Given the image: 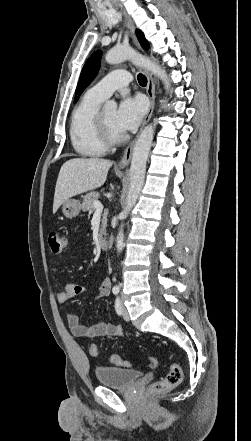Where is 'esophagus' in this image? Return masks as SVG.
I'll return each instance as SVG.
<instances>
[{"label": "esophagus", "instance_id": "34e87169", "mask_svg": "<svg viewBox=\"0 0 251 441\" xmlns=\"http://www.w3.org/2000/svg\"><path fill=\"white\" fill-rule=\"evenodd\" d=\"M125 22H126V25H127L128 29L130 30L133 43L137 46V41H136L135 34H134V25H133L132 20L127 15H125ZM144 74L147 77L146 92H147V95H148L149 100H150V108H149V110H148V112H147V114L145 116L142 128L150 120V118L152 116V113L154 111V106H155V86H156L154 78L152 77V75L146 69H144ZM138 136H139V134L125 148L123 156H122L121 160L119 161V163L117 165L119 168H126L129 165V163L131 161V158H132L133 148L135 146V143L137 141Z\"/></svg>", "mask_w": 251, "mask_h": 441}]
</instances>
